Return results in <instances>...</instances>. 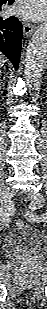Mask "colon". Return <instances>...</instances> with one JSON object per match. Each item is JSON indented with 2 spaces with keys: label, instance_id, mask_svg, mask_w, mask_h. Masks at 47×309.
<instances>
[{
  "label": "colon",
  "instance_id": "colon-1",
  "mask_svg": "<svg viewBox=\"0 0 47 309\" xmlns=\"http://www.w3.org/2000/svg\"><path fill=\"white\" fill-rule=\"evenodd\" d=\"M27 216H28L29 218H31V214H30V213H28ZM17 224H18V225H22L23 222L19 221Z\"/></svg>",
  "mask_w": 47,
  "mask_h": 309
}]
</instances>
